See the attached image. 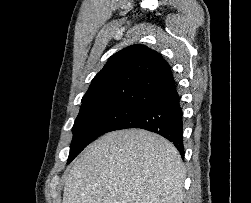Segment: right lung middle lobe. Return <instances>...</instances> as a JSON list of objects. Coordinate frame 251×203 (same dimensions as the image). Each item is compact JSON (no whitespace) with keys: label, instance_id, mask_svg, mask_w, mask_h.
<instances>
[{"label":"right lung middle lobe","instance_id":"1","mask_svg":"<svg viewBox=\"0 0 251 203\" xmlns=\"http://www.w3.org/2000/svg\"><path fill=\"white\" fill-rule=\"evenodd\" d=\"M141 108L125 104L82 105L72 128L70 163L89 143L99 136L113 131L122 121Z\"/></svg>","mask_w":251,"mask_h":203}]
</instances>
